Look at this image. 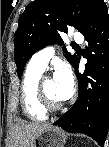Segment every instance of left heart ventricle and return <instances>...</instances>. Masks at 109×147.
I'll return each instance as SVG.
<instances>
[{
	"label": "left heart ventricle",
	"mask_w": 109,
	"mask_h": 147,
	"mask_svg": "<svg viewBox=\"0 0 109 147\" xmlns=\"http://www.w3.org/2000/svg\"><path fill=\"white\" fill-rule=\"evenodd\" d=\"M44 90L49 97V99L54 102V103H59L61 102V99L57 93V88L54 79L52 78H47L44 81Z\"/></svg>",
	"instance_id": "left-heart-ventricle-1"
}]
</instances>
